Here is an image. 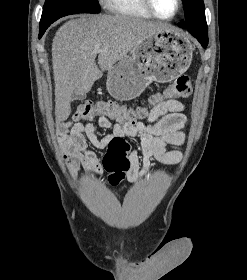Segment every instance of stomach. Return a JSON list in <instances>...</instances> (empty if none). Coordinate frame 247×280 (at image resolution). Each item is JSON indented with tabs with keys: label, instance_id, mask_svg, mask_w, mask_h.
Listing matches in <instances>:
<instances>
[{
	"label": "stomach",
	"instance_id": "1",
	"mask_svg": "<svg viewBox=\"0 0 247 280\" xmlns=\"http://www.w3.org/2000/svg\"><path fill=\"white\" fill-rule=\"evenodd\" d=\"M193 46L175 29L154 33L108 70L107 90L119 101L138 97L153 81L166 83L190 66Z\"/></svg>",
	"mask_w": 247,
	"mask_h": 280
}]
</instances>
